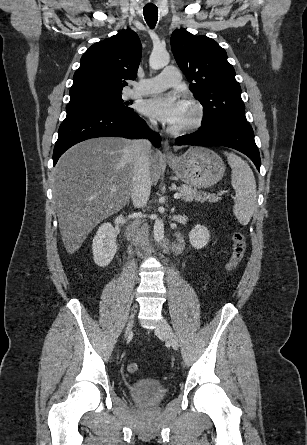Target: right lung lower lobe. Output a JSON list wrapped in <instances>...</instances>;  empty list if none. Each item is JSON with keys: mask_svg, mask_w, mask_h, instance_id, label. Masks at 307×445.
<instances>
[{"mask_svg": "<svg viewBox=\"0 0 307 445\" xmlns=\"http://www.w3.org/2000/svg\"><path fill=\"white\" fill-rule=\"evenodd\" d=\"M104 136L124 138L147 137L160 147L161 138L151 132L145 121L136 113L112 109H81L67 112L59 128L53 152V165L71 146L86 139Z\"/></svg>", "mask_w": 307, "mask_h": 445, "instance_id": "right-lung-lower-lobe-1", "label": "right lung lower lobe"}]
</instances>
